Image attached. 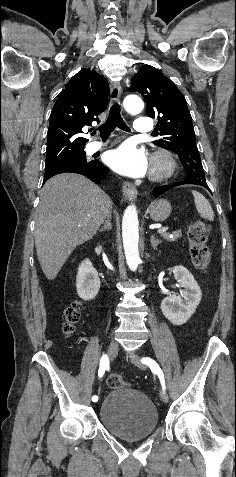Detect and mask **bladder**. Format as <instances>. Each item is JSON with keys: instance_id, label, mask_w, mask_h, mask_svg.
I'll return each instance as SVG.
<instances>
[{"instance_id": "bladder-1", "label": "bladder", "mask_w": 236, "mask_h": 477, "mask_svg": "<svg viewBox=\"0 0 236 477\" xmlns=\"http://www.w3.org/2000/svg\"><path fill=\"white\" fill-rule=\"evenodd\" d=\"M102 425L123 440L149 437L158 427V411L150 398L132 387L112 388L99 403Z\"/></svg>"}]
</instances>
